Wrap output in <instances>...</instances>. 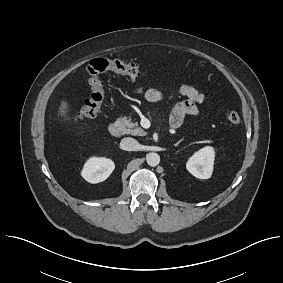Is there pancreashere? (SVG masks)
Wrapping results in <instances>:
<instances>
[{
  "mask_svg": "<svg viewBox=\"0 0 283 283\" xmlns=\"http://www.w3.org/2000/svg\"><path fill=\"white\" fill-rule=\"evenodd\" d=\"M120 129L123 134L133 135V136H145L146 132L138 126L137 122H133L129 117H121L120 119Z\"/></svg>",
  "mask_w": 283,
  "mask_h": 283,
  "instance_id": "obj_1",
  "label": "pancreas"
}]
</instances>
